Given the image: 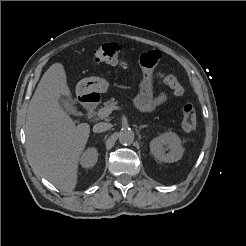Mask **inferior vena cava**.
I'll return each instance as SVG.
<instances>
[{"label": "inferior vena cava", "mask_w": 246, "mask_h": 246, "mask_svg": "<svg viewBox=\"0 0 246 246\" xmlns=\"http://www.w3.org/2000/svg\"><path fill=\"white\" fill-rule=\"evenodd\" d=\"M111 127H112V125L110 123L100 122V123H97L93 126V132L94 133L105 132V131L109 130Z\"/></svg>", "instance_id": "602c4592"}]
</instances>
